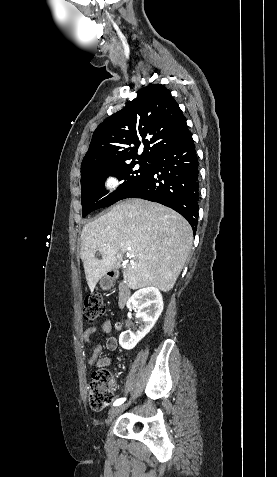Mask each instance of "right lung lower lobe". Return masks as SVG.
I'll return each mask as SVG.
<instances>
[{
    "mask_svg": "<svg viewBox=\"0 0 277 477\" xmlns=\"http://www.w3.org/2000/svg\"><path fill=\"white\" fill-rule=\"evenodd\" d=\"M150 171L125 198H142L168 206L180 213L194 234L198 224V158L188 132L176 144L158 152L150 160Z\"/></svg>",
    "mask_w": 277,
    "mask_h": 477,
    "instance_id": "obj_1",
    "label": "right lung lower lobe"
}]
</instances>
